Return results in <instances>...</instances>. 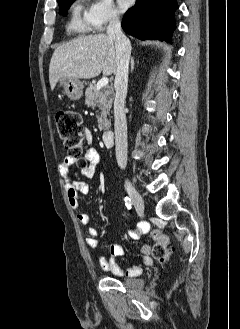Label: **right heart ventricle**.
<instances>
[{
    "label": "right heart ventricle",
    "instance_id": "obj_1",
    "mask_svg": "<svg viewBox=\"0 0 240 329\" xmlns=\"http://www.w3.org/2000/svg\"><path fill=\"white\" fill-rule=\"evenodd\" d=\"M91 27L88 23L86 10L81 0L77 1L71 10L69 20L67 22V30L74 34L83 35L90 31Z\"/></svg>",
    "mask_w": 240,
    "mask_h": 329
}]
</instances>
